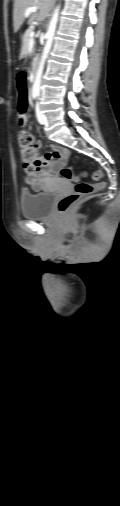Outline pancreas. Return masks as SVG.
Masks as SVG:
<instances>
[{
    "mask_svg": "<svg viewBox=\"0 0 120 506\" xmlns=\"http://www.w3.org/2000/svg\"><path fill=\"white\" fill-rule=\"evenodd\" d=\"M33 31V27H30L23 36V49L26 51L30 41V32Z\"/></svg>",
    "mask_w": 120,
    "mask_h": 506,
    "instance_id": "cf45deb5",
    "label": "pancreas"
}]
</instances>
